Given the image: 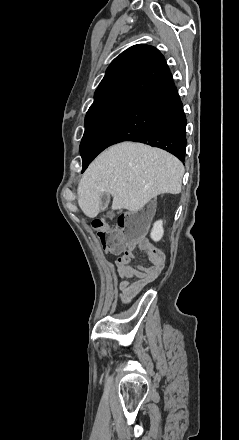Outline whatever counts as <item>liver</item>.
<instances>
[{"mask_svg":"<svg viewBox=\"0 0 239 440\" xmlns=\"http://www.w3.org/2000/svg\"><path fill=\"white\" fill-rule=\"evenodd\" d=\"M184 166L172 154L144 144L122 142L107 148L84 172L78 204L96 218L103 192L113 196L111 210L138 212L158 194H180Z\"/></svg>","mask_w":239,"mask_h":440,"instance_id":"1","label":"liver"}]
</instances>
